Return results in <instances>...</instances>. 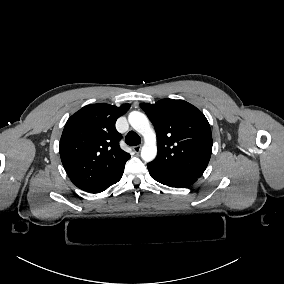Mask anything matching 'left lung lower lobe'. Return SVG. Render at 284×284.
I'll return each mask as SVG.
<instances>
[{
  "label": "left lung lower lobe",
  "mask_w": 284,
  "mask_h": 284,
  "mask_svg": "<svg viewBox=\"0 0 284 284\" xmlns=\"http://www.w3.org/2000/svg\"><path fill=\"white\" fill-rule=\"evenodd\" d=\"M148 170L153 179L156 181L176 188H185L197 181L198 177L187 176L183 174L173 173L163 168L148 163Z\"/></svg>",
  "instance_id": "obj_1"
}]
</instances>
